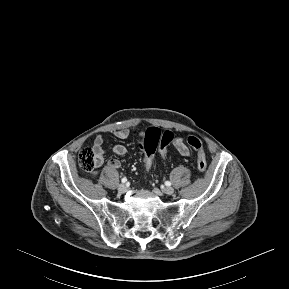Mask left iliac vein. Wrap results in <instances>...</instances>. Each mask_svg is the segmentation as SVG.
I'll return each mask as SVG.
<instances>
[{
  "instance_id": "1",
  "label": "left iliac vein",
  "mask_w": 289,
  "mask_h": 289,
  "mask_svg": "<svg viewBox=\"0 0 289 289\" xmlns=\"http://www.w3.org/2000/svg\"><path fill=\"white\" fill-rule=\"evenodd\" d=\"M157 190H155V192H156ZM164 193L165 194H167V195H171V194H173L174 193V188H172V187H166L165 189H164Z\"/></svg>"
}]
</instances>
